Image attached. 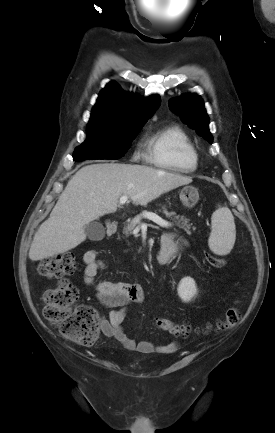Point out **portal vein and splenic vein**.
Here are the masks:
<instances>
[{
	"mask_svg": "<svg viewBox=\"0 0 275 433\" xmlns=\"http://www.w3.org/2000/svg\"><path fill=\"white\" fill-rule=\"evenodd\" d=\"M127 201H128V197L127 196H121L120 200H119V203L120 204H125ZM144 217L147 218V219H149V220H151V221H153L154 223H156L159 226H162V227L171 226V224L169 222L163 220L162 218H160L159 216H157V215H155L153 213H147V214L144 215ZM138 223H139V221H138Z\"/></svg>",
	"mask_w": 275,
	"mask_h": 433,
	"instance_id": "1",
	"label": "portal vein and splenic vein"
}]
</instances>
